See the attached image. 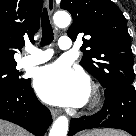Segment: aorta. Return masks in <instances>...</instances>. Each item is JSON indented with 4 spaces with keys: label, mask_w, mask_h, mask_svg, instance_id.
<instances>
[{
    "label": "aorta",
    "mask_w": 136,
    "mask_h": 136,
    "mask_svg": "<svg viewBox=\"0 0 136 136\" xmlns=\"http://www.w3.org/2000/svg\"><path fill=\"white\" fill-rule=\"evenodd\" d=\"M53 20L58 27H67L71 22V17L67 12L58 11L54 14ZM69 122L66 116L58 117L49 133V136H66Z\"/></svg>",
    "instance_id": "1"
}]
</instances>
